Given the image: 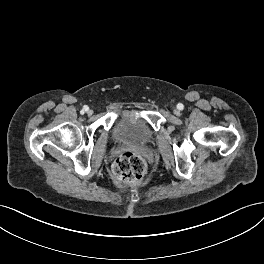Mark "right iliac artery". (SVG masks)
I'll list each match as a JSON object with an SVG mask.
<instances>
[{"label":"right iliac artery","instance_id":"right-iliac-artery-1","mask_svg":"<svg viewBox=\"0 0 264 264\" xmlns=\"http://www.w3.org/2000/svg\"><path fill=\"white\" fill-rule=\"evenodd\" d=\"M88 109H89V107L88 106H83V109H82V113H84V112H86V111H88Z\"/></svg>","mask_w":264,"mask_h":264}]
</instances>
